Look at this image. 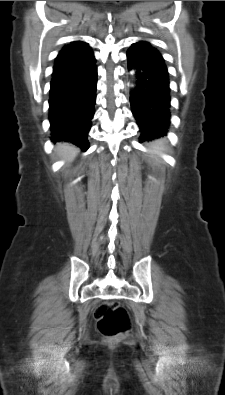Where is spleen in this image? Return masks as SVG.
I'll use <instances>...</instances> for the list:
<instances>
[{
	"label": "spleen",
	"mask_w": 225,
	"mask_h": 395,
	"mask_svg": "<svg viewBox=\"0 0 225 395\" xmlns=\"http://www.w3.org/2000/svg\"><path fill=\"white\" fill-rule=\"evenodd\" d=\"M152 149H153L154 152H157V153L164 151V147H163V144L161 142H158V143L154 144L152 146Z\"/></svg>",
	"instance_id": "3e777b00"
}]
</instances>
